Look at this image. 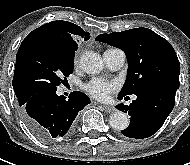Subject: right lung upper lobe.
I'll list each match as a JSON object with an SVG mask.
<instances>
[{"mask_svg": "<svg viewBox=\"0 0 190 165\" xmlns=\"http://www.w3.org/2000/svg\"><path fill=\"white\" fill-rule=\"evenodd\" d=\"M33 35H41L45 37L59 39L71 45H77L78 39L82 38L84 41L89 39V33L85 32L79 26L67 21H53L42 25L41 27L32 31L27 37ZM14 91L17 88V83L13 79Z\"/></svg>", "mask_w": 190, "mask_h": 165, "instance_id": "obj_1", "label": "right lung upper lobe"}]
</instances>
